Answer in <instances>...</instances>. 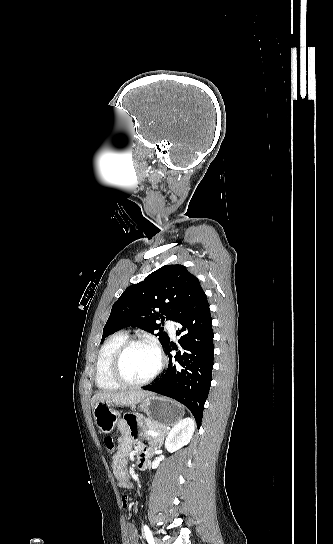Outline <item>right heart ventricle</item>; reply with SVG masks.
I'll return each instance as SVG.
<instances>
[{
	"mask_svg": "<svg viewBox=\"0 0 333 544\" xmlns=\"http://www.w3.org/2000/svg\"><path fill=\"white\" fill-rule=\"evenodd\" d=\"M128 339V333L121 331L110 335L100 346L95 364V383L99 389L112 391L120 388L121 385L110 375V364L116 350Z\"/></svg>",
	"mask_w": 333,
	"mask_h": 544,
	"instance_id": "e07e8e85",
	"label": "right heart ventricle"
}]
</instances>
